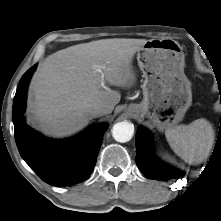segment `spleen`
Returning <instances> with one entry per match:
<instances>
[{
  "label": "spleen",
  "instance_id": "obj_1",
  "mask_svg": "<svg viewBox=\"0 0 221 221\" xmlns=\"http://www.w3.org/2000/svg\"><path fill=\"white\" fill-rule=\"evenodd\" d=\"M165 136L172 150L189 164L207 159L215 140L212 125L203 118L188 125L167 128Z\"/></svg>",
  "mask_w": 221,
  "mask_h": 221
}]
</instances>
